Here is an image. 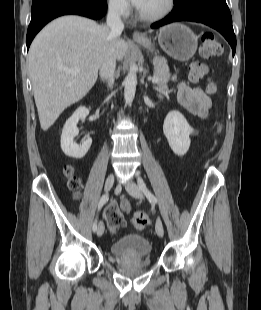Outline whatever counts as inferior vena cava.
<instances>
[{
    "label": "inferior vena cava",
    "instance_id": "602c4592",
    "mask_svg": "<svg viewBox=\"0 0 261 310\" xmlns=\"http://www.w3.org/2000/svg\"><path fill=\"white\" fill-rule=\"evenodd\" d=\"M107 26L110 28L111 34L113 36H118L122 33L124 29V24L121 20V15L119 8L116 6H111L107 15ZM116 68V59L108 55L103 60L100 66V77L103 80L108 81V85L112 86L114 83V72Z\"/></svg>",
    "mask_w": 261,
    "mask_h": 310
}]
</instances>
